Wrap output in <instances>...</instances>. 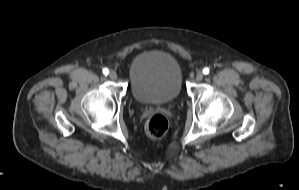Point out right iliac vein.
Wrapping results in <instances>:
<instances>
[{"instance_id":"right-iliac-vein-1","label":"right iliac vein","mask_w":299,"mask_h":190,"mask_svg":"<svg viewBox=\"0 0 299 190\" xmlns=\"http://www.w3.org/2000/svg\"><path fill=\"white\" fill-rule=\"evenodd\" d=\"M109 77L112 79V80H115L117 78V73L115 71H111L109 73Z\"/></svg>"}]
</instances>
